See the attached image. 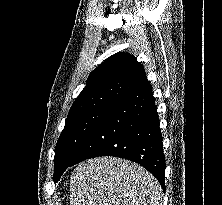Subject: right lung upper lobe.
Wrapping results in <instances>:
<instances>
[{
	"instance_id": "1",
	"label": "right lung upper lobe",
	"mask_w": 222,
	"mask_h": 205,
	"mask_svg": "<svg viewBox=\"0 0 222 205\" xmlns=\"http://www.w3.org/2000/svg\"><path fill=\"white\" fill-rule=\"evenodd\" d=\"M148 84L145 70L136 58L128 53H117L90 74L86 87L74 101L68 117L93 109L113 108Z\"/></svg>"
}]
</instances>
